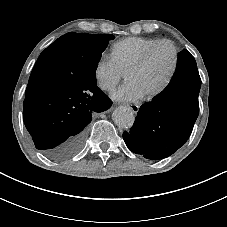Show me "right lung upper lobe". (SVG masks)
I'll list each match as a JSON object with an SVG mask.
<instances>
[{
  "mask_svg": "<svg viewBox=\"0 0 227 227\" xmlns=\"http://www.w3.org/2000/svg\"><path fill=\"white\" fill-rule=\"evenodd\" d=\"M40 88H36V87H34L32 84H31V82L28 84V86H27V89H26V93H27V96L28 95H30V94H32L33 92H35V91H38Z\"/></svg>",
  "mask_w": 227,
  "mask_h": 227,
  "instance_id": "obj_1",
  "label": "right lung upper lobe"
}]
</instances>
